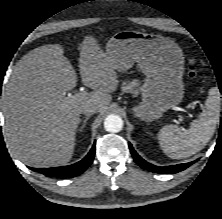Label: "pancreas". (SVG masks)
I'll list each match as a JSON object with an SVG mask.
<instances>
[{
    "label": "pancreas",
    "instance_id": "obj_1",
    "mask_svg": "<svg viewBox=\"0 0 222 219\" xmlns=\"http://www.w3.org/2000/svg\"><path fill=\"white\" fill-rule=\"evenodd\" d=\"M140 85V82L139 80H133L131 82H128V83H123L122 85V90L124 92H128V91H131V92H134V93H137V88L139 87Z\"/></svg>",
    "mask_w": 222,
    "mask_h": 219
}]
</instances>
